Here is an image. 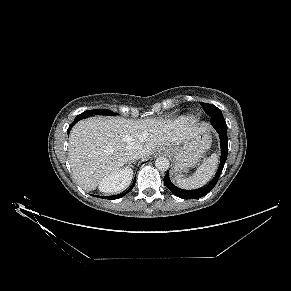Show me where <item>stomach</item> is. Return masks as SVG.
Wrapping results in <instances>:
<instances>
[{
	"label": "stomach",
	"instance_id": "0dacf381",
	"mask_svg": "<svg viewBox=\"0 0 291 291\" xmlns=\"http://www.w3.org/2000/svg\"><path fill=\"white\" fill-rule=\"evenodd\" d=\"M210 145L211 136L205 131L197 138L180 145L164 147V151L173 159L172 171L175 177H181L189 168L195 166L200 161L202 154L209 149Z\"/></svg>",
	"mask_w": 291,
	"mask_h": 291
}]
</instances>
